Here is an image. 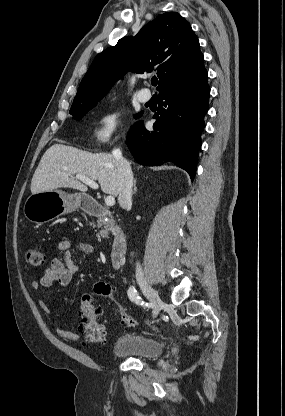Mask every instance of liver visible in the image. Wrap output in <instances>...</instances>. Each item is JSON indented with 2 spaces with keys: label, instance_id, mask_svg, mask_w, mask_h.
Here are the masks:
<instances>
[{
  "label": "liver",
  "instance_id": "6515ba94",
  "mask_svg": "<svg viewBox=\"0 0 285 416\" xmlns=\"http://www.w3.org/2000/svg\"><path fill=\"white\" fill-rule=\"evenodd\" d=\"M75 174L97 180L104 194H119L120 172L111 154H90L62 144H54L42 156L31 180V192L39 194L57 188L87 192V186L78 182Z\"/></svg>",
  "mask_w": 285,
  "mask_h": 416
}]
</instances>
